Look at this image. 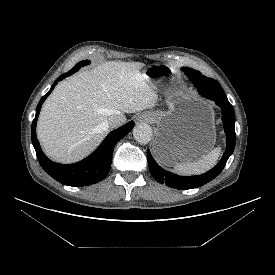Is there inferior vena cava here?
I'll use <instances>...</instances> for the list:
<instances>
[{"label": "inferior vena cava", "mask_w": 275, "mask_h": 275, "mask_svg": "<svg viewBox=\"0 0 275 275\" xmlns=\"http://www.w3.org/2000/svg\"><path fill=\"white\" fill-rule=\"evenodd\" d=\"M126 121V117L124 116L123 113H115L114 115L110 116L107 119V126L109 128H116L120 125H122Z\"/></svg>", "instance_id": "1"}]
</instances>
